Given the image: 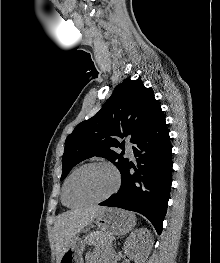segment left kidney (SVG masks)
<instances>
[{"mask_svg": "<svg viewBox=\"0 0 220 263\" xmlns=\"http://www.w3.org/2000/svg\"><path fill=\"white\" fill-rule=\"evenodd\" d=\"M153 247L152 234L147 228H139L131 233L124 244V253L135 263H145Z\"/></svg>", "mask_w": 220, "mask_h": 263, "instance_id": "5707ae66", "label": "left kidney"}]
</instances>
